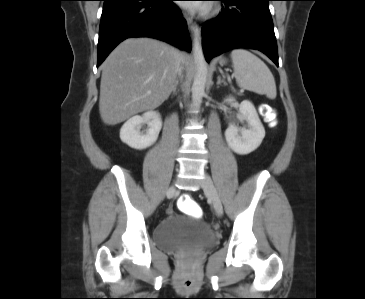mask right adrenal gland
Returning a JSON list of instances; mask_svg holds the SVG:
<instances>
[{
    "mask_svg": "<svg viewBox=\"0 0 365 299\" xmlns=\"http://www.w3.org/2000/svg\"><path fill=\"white\" fill-rule=\"evenodd\" d=\"M177 86H178V80L175 81L174 86L171 90V93L176 94Z\"/></svg>",
    "mask_w": 365,
    "mask_h": 299,
    "instance_id": "2a0ac1e0",
    "label": "right adrenal gland"
}]
</instances>
